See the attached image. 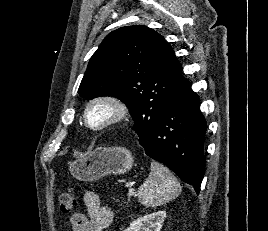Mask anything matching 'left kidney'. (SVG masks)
I'll return each mask as SVG.
<instances>
[{
    "label": "left kidney",
    "instance_id": "5707ae66",
    "mask_svg": "<svg viewBox=\"0 0 268 231\" xmlns=\"http://www.w3.org/2000/svg\"><path fill=\"white\" fill-rule=\"evenodd\" d=\"M166 217L165 211H158L134 220L124 231H160Z\"/></svg>",
    "mask_w": 268,
    "mask_h": 231
}]
</instances>
